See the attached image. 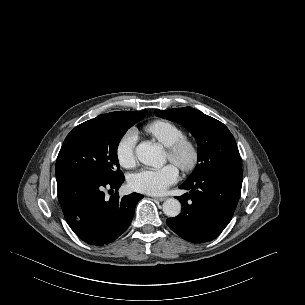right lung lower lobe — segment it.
<instances>
[{"label":"right lung lower lobe","instance_id":"1","mask_svg":"<svg viewBox=\"0 0 305 305\" xmlns=\"http://www.w3.org/2000/svg\"><path fill=\"white\" fill-rule=\"evenodd\" d=\"M123 181L124 175L106 182L73 174L57 176L60 206L68 225L81 240L102 246L128 228L143 195L132 193L120 198L116 192L108 198L104 193L106 188L117 191Z\"/></svg>","mask_w":305,"mask_h":305}]
</instances>
